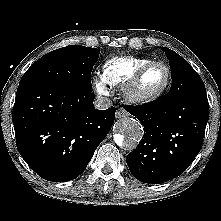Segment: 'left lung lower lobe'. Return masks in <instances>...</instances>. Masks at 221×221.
<instances>
[{
  "instance_id": "1",
  "label": "left lung lower lobe",
  "mask_w": 221,
  "mask_h": 221,
  "mask_svg": "<svg viewBox=\"0 0 221 221\" xmlns=\"http://www.w3.org/2000/svg\"><path fill=\"white\" fill-rule=\"evenodd\" d=\"M144 126V136L126 157L131 173L158 184L182 174L199 153L209 118L206 93L175 102L164 98L139 106L124 105Z\"/></svg>"
}]
</instances>
